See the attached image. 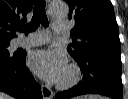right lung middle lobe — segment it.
<instances>
[{
  "mask_svg": "<svg viewBox=\"0 0 128 99\" xmlns=\"http://www.w3.org/2000/svg\"><path fill=\"white\" fill-rule=\"evenodd\" d=\"M9 45H10V42H0V56L10 58L15 55V53L14 54L9 53L7 49Z\"/></svg>",
  "mask_w": 128,
  "mask_h": 99,
  "instance_id": "1",
  "label": "right lung middle lobe"
}]
</instances>
